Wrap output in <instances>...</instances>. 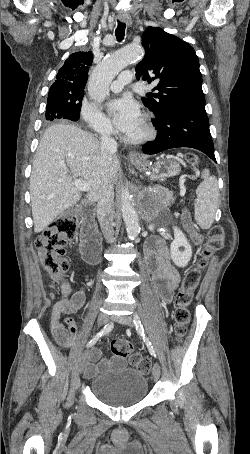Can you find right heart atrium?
I'll return each instance as SVG.
<instances>
[{"instance_id": "d8ad5b80", "label": "right heart atrium", "mask_w": 250, "mask_h": 454, "mask_svg": "<svg viewBox=\"0 0 250 454\" xmlns=\"http://www.w3.org/2000/svg\"><path fill=\"white\" fill-rule=\"evenodd\" d=\"M80 116L86 126L93 132L100 135L113 133V126L110 121L88 101H83L80 108Z\"/></svg>"}]
</instances>
